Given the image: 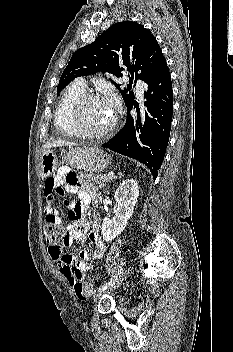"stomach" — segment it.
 Wrapping results in <instances>:
<instances>
[{
  "mask_svg": "<svg viewBox=\"0 0 233 352\" xmlns=\"http://www.w3.org/2000/svg\"><path fill=\"white\" fill-rule=\"evenodd\" d=\"M64 159L70 166L87 172H102L111 164L110 156L96 147H80L70 150ZM58 158L53 150L48 149L42 153L40 162V175L44 178L54 174L57 170Z\"/></svg>",
  "mask_w": 233,
  "mask_h": 352,
  "instance_id": "1",
  "label": "stomach"
}]
</instances>
